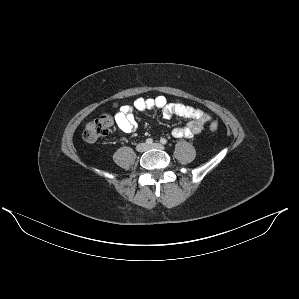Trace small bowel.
Returning <instances> with one entry per match:
<instances>
[{"label":"small bowel","instance_id":"small-bowel-1","mask_svg":"<svg viewBox=\"0 0 299 299\" xmlns=\"http://www.w3.org/2000/svg\"><path fill=\"white\" fill-rule=\"evenodd\" d=\"M154 108L161 109L165 118L180 116L190 119L186 126L175 127L172 130V135L176 138H191L198 135L211 120L210 114L201 109L181 103H170L165 96L160 95L155 98H138L132 105H123L115 115L116 124L123 133H131L136 128L135 112Z\"/></svg>","mask_w":299,"mask_h":299}]
</instances>
